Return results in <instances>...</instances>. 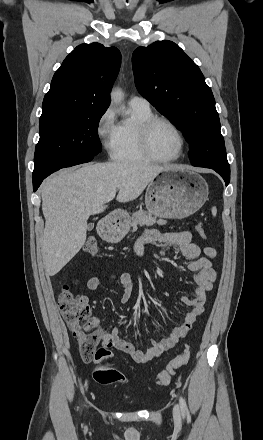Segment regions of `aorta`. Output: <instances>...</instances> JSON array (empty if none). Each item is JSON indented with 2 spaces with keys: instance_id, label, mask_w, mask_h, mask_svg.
<instances>
[{
  "instance_id": "obj_1",
  "label": "aorta",
  "mask_w": 263,
  "mask_h": 440,
  "mask_svg": "<svg viewBox=\"0 0 263 440\" xmlns=\"http://www.w3.org/2000/svg\"><path fill=\"white\" fill-rule=\"evenodd\" d=\"M123 97H124V94L122 93V91L120 89H116L111 92V100L113 102H118V101L122 100Z\"/></svg>"
}]
</instances>
